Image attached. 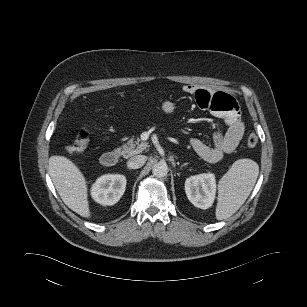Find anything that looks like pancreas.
<instances>
[{
  "instance_id": "cf45deb5",
  "label": "pancreas",
  "mask_w": 307,
  "mask_h": 307,
  "mask_svg": "<svg viewBox=\"0 0 307 307\" xmlns=\"http://www.w3.org/2000/svg\"><path fill=\"white\" fill-rule=\"evenodd\" d=\"M148 147L149 145L147 142L141 141L139 138H131L125 145L122 146L120 153L124 158H128L135 154L142 153Z\"/></svg>"
}]
</instances>
